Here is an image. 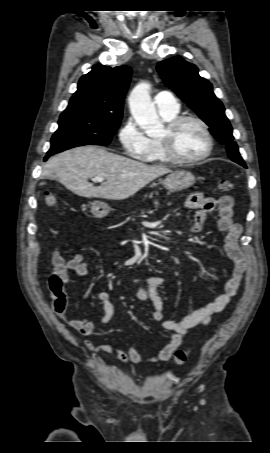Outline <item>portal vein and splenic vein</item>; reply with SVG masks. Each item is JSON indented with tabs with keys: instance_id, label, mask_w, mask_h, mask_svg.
<instances>
[{
	"instance_id": "portal-vein-and-splenic-vein-1",
	"label": "portal vein and splenic vein",
	"mask_w": 270,
	"mask_h": 453,
	"mask_svg": "<svg viewBox=\"0 0 270 453\" xmlns=\"http://www.w3.org/2000/svg\"><path fill=\"white\" fill-rule=\"evenodd\" d=\"M92 181H93V182H100V183H101V182L104 181V178L101 177V176H99V177H94V178L92 179Z\"/></svg>"
}]
</instances>
